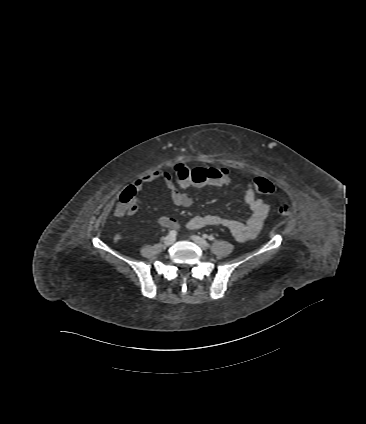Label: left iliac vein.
<instances>
[{
	"label": "left iliac vein",
	"instance_id": "4c4485c4",
	"mask_svg": "<svg viewBox=\"0 0 366 424\" xmlns=\"http://www.w3.org/2000/svg\"><path fill=\"white\" fill-rule=\"evenodd\" d=\"M191 239L202 249V250H207L209 248V243L196 235L191 236Z\"/></svg>",
	"mask_w": 366,
	"mask_h": 424
}]
</instances>
